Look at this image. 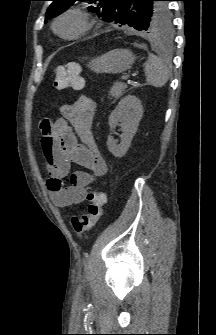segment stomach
<instances>
[{"instance_id": "1", "label": "stomach", "mask_w": 216, "mask_h": 335, "mask_svg": "<svg viewBox=\"0 0 216 335\" xmlns=\"http://www.w3.org/2000/svg\"><path fill=\"white\" fill-rule=\"evenodd\" d=\"M134 61L135 56L130 50L114 49L91 60L87 66L97 74H117L130 69Z\"/></svg>"}]
</instances>
